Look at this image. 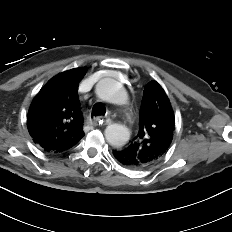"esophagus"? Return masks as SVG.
<instances>
[{
    "label": "esophagus",
    "mask_w": 232,
    "mask_h": 232,
    "mask_svg": "<svg viewBox=\"0 0 232 232\" xmlns=\"http://www.w3.org/2000/svg\"><path fill=\"white\" fill-rule=\"evenodd\" d=\"M92 123L93 125H109L111 123V119L107 117H96Z\"/></svg>",
    "instance_id": "obj_1"
}]
</instances>
